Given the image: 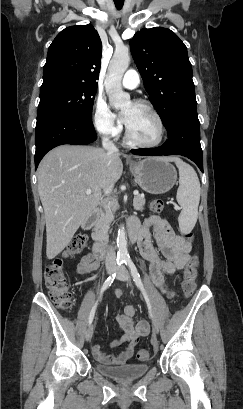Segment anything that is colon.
Returning <instances> with one entry per match:
<instances>
[{"label": "colon", "mask_w": 243, "mask_h": 409, "mask_svg": "<svg viewBox=\"0 0 243 409\" xmlns=\"http://www.w3.org/2000/svg\"><path fill=\"white\" fill-rule=\"evenodd\" d=\"M164 204L160 199H154L149 204V209L153 214H159L163 211ZM187 240L193 239V234L185 233ZM87 238L84 235L75 236L66 251L69 256H74L81 252L85 247ZM199 259L192 256L183 272V292L185 297H190L195 289L197 279V267ZM44 280L48 288L49 295L53 302L62 310H68L72 306V294L69 291L66 275L63 271V263L60 259H54L45 266ZM137 357L141 361H147L150 358V352L147 349H141Z\"/></svg>", "instance_id": "colon-1"}]
</instances>
